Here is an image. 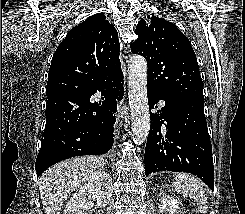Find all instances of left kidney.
Masks as SVG:
<instances>
[{
	"label": "left kidney",
	"instance_id": "5707ae66",
	"mask_svg": "<svg viewBox=\"0 0 245 214\" xmlns=\"http://www.w3.org/2000/svg\"><path fill=\"white\" fill-rule=\"evenodd\" d=\"M181 203L171 197L170 195H165L161 201V207L159 214H179Z\"/></svg>",
	"mask_w": 245,
	"mask_h": 214
}]
</instances>
